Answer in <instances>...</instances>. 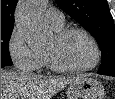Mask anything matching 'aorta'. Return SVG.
I'll return each instance as SVG.
<instances>
[{"mask_svg": "<svg viewBox=\"0 0 115 99\" xmlns=\"http://www.w3.org/2000/svg\"><path fill=\"white\" fill-rule=\"evenodd\" d=\"M46 0H26L18 4L16 24L31 48L47 44L49 32L43 23L42 15Z\"/></svg>", "mask_w": 115, "mask_h": 99, "instance_id": "762f6f07", "label": "aorta"}]
</instances>
